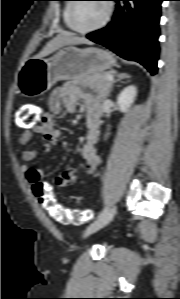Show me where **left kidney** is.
<instances>
[{
  "label": "left kidney",
  "mask_w": 180,
  "mask_h": 299,
  "mask_svg": "<svg viewBox=\"0 0 180 299\" xmlns=\"http://www.w3.org/2000/svg\"><path fill=\"white\" fill-rule=\"evenodd\" d=\"M137 89L131 85L124 88L117 98V104L121 112H126L135 101Z\"/></svg>",
  "instance_id": "5707ae66"
}]
</instances>
